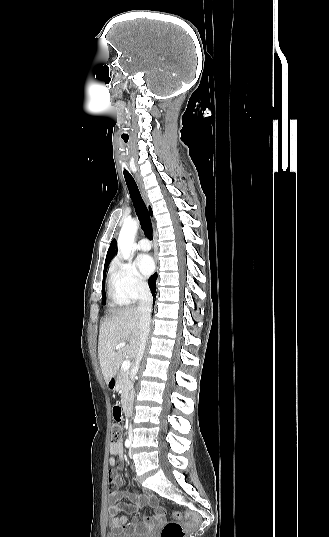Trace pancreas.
<instances>
[{
    "instance_id": "1",
    "label": "pancreas",
    "mask_w": 329,
    "mask_h": 537,
    "mask_svg": "<svg viewBox=\"0 0 329 537\" xmlns=\"http://www.w3.org/2000/svg\"><path fill=\"white\" fill-rule=\"evenodd\" d=\"M116 385L117 389L121 390V396L123 401L127 402L132 396L133 392V385L130 381L128 370H123L121 368L118 371Z\"/></svg>"
}]
</instances>
